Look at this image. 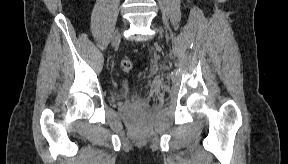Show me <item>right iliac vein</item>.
I'll use <instances>...</instances> for the list:
<instances>
[{
  "label": "right iliac vein",
  "instance_id": "right-iliac-vein-1",
  "mask_svg": "<svg viewBox=\"0 0 288 164\" xmlns=\"http://www.w3.org/2000/svg\"><path fill=\"white\" fill-rule=\"evenodd\" d=\"M119 38H120V32L116 31L114 34V37H113V41H117V40H119Z\"/></svg>",
  "mask_w": 288,
  "mask_h": 164
}]
</instances>
